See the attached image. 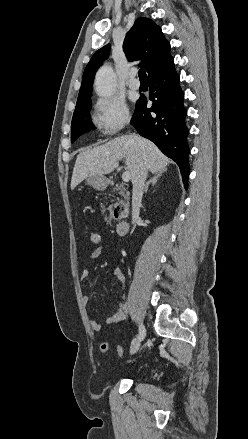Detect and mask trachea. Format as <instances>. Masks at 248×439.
I'll return each instance as SVG.
<instances>
[{"mask_svg": "<svg viewBox=\"0 0 248 439\" xmlns=\"http://www.w3.org/2000/svg\"><path fill=\"white\" fill-rule=\"evenodd\" d=\"M138 76L140 78V80H147V75L144 69H140L138 71Z\"/></svg>", "mask_w": 248, "mask_h": 439, "instance_id": "1", "label": "trachea"}]
</instances>
